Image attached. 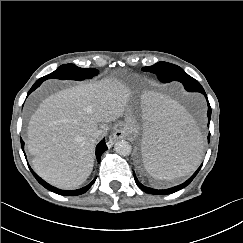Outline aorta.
<instances>
[{"instance_id": "obj_1", "label": "aorta", "mask_w": 243, "mask_h": 243, "mask_svg": "<svg viewBox=\"0 0 243 243\" xmlns=\"http://www.w3.org/2000/svg\"><path fill=\"white\" fill-rule=\"evenodd\" d=\"M114 150L121 156H128L132 151V147L129 142L120 140L115 143Z\"/></svg>"}]
</instances>
